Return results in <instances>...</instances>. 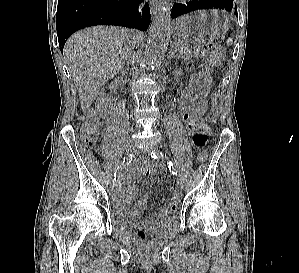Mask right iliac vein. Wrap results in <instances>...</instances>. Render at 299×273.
Returning <instances> with one entry per match:
<instances>
[{"label":"right iliac vein","instance_id":"1","mask_svg":"<svg viewBox=\"0 0 299 273\" xmlns=\"http://www.w3.org/2000/svg\"><path fill=\"white\" fill-rule=\"evenodd\" d=\"M134 150H135V144L133 142H130L126 147L125 152L127 155H129V154H132L134 152ZM115 187H116V183L114 181H112L110 183V191L111 192L114 191Z\"/></svg>","mask_w":299,"mask_h":273}]
</instances>
